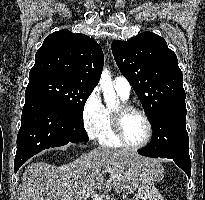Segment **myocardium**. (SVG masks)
<instances>
[{
  "instance_id": "myocardium-1",
  "label": "myocardium",
  "mask_w": 205,
  "mask_h": 200,
  "mask_svg": "<svg viewBox=\"0 0 205 200\" xmlns=\"http://www.w3.org/2000/svg\"><path fill=\"white\" fill-rule=\"evenodd\" d=\"M132 113H136V114H139L140 116H142V118L145 120L146 125H147V136L142 143L137 144V145L130 144L126 140L125 135H124V131H123V121H124L126 116H128L129 114H132ZM111 123H112V129H113L115 137L126 148L133 149V150H138V149L144 148L146 145L149 144V142L152 139L153 125H152L150 118L148 117V115L146 114L145 111H143L142 109L137 108L129 103H125V102L122 103L118 107L117 110H115L111 113Z\"/></svg>"
}]
</instances>
